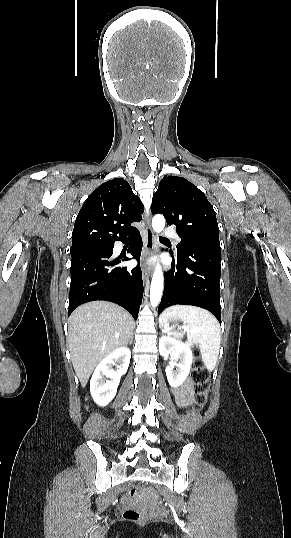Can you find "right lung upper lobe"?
<instances>
[{"mask_svg": "<svg viewBox=\"0 0 291 538\" xmlns=\"http://www.w3.org/2000/svg\"><path fill=\"white\" fill-rule=\"evenodd\" d=\"M144 206L127 181L116 178L101 184L84 202L75 220L71 250L114 245L137 231Z\"/></svg>", "mask_w": 291, "mask_h": 538, "instance_id": "1", "label": "right lung upper lobe"}]
</instances>
